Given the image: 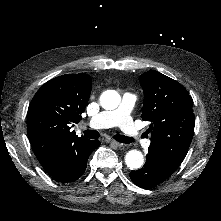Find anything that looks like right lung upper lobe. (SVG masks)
I'll return each mask as SVG.
<instances>
[{"instance_id":"cb5924a9","label":"right lung upper lobe","mask_w":221,"mask_h":221,"mask_svg":"<svg viewBox=\"0 0 221 221\" xmlns=\"http://www.w3.org/2000/svg\"><path fill=\"white\" fill-rule=\"evenodd\" d=\"M91 87L88 74H67L46 82L33 97L27 133L35 156L46 171L76 145L87 141L70 129L82 119Z\"/></svg>"}]
</instances>
